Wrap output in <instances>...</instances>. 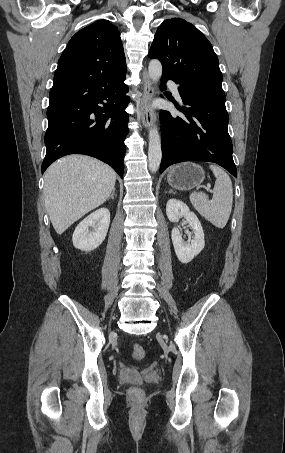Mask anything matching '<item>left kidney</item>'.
Instances as JSON below:
<instances>
[{
	"label": "left kidney",
	"instance_id": "1",
	"mask_svg": "<svg viewBox=\"0 0 285 453\" xmlns=\"http://www.w3.org/2000/svg\"><path fill=\"white\" fill-rule=\"evenodd\" d=\"M166 214L171 222H177L184 217L193 230L194 235L188 243L184 242L177 227H174L171 232L172 243L179 261L185 264L189 263L205 246L202 225L194 212H191L189 207L180 200H168Z\"/></svg>",
	"mask_w": 285,
	"mask_h": 453
}]
</instances>
